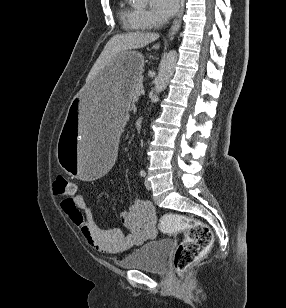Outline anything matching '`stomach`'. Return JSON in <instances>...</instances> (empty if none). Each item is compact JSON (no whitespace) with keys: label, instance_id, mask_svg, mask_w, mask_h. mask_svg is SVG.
Here are the masks:
<instances>
[{"label":"stomach","instance_id":"0dacf381","mask_svg":"<svg viewBox=\"0 0 286 308\" xmlns=\"http://www.w3.org/2000/svg\"><path fill=\"white\" fill-rule=\"evenodd\" d=\"M144 57L125 51L105 66L78 92L68 117L62 118L57 160L77 182H100L118 158L117 125H126L125 114L133 86L143 72Z\"/></svg>","mask_w":286,"mask_h":308}]
</instances>
